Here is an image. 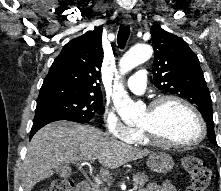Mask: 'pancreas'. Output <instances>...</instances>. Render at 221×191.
<instances>
[{"label":"pancreas","instance_id":"1","mask_svg":"<svg viewBox=\"0 0 221 191\" xmlns=\"http://www.w3.org/2000/svg\"><path fill=\"white\" fill-rule=\"evenodd\" d=\"M148 181H149V178L144 173L133 175L134 186L143 187ZM91 191H107V189L101 188L100 185H93L91 188Z\"/></svg>","mask_w":221,"mask_h":191}]
</instances>
